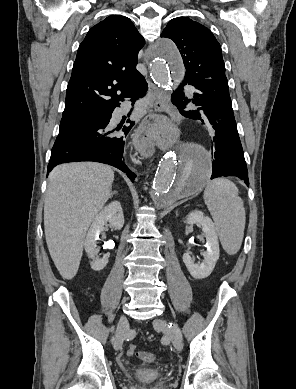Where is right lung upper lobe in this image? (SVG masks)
Wrapping results in <instances>:
<instances>
[{
	"instance_id": "1",
	"label": "right lung upper lobe",
	"mask_w": 296,
	"mask_h": 389,
	"mask_svg": "<svg viewBox=\"0 0 296 389\" xmlns=\"http://www.w3.org/2000/svg\"><path fill=\"white\" fill-rule=\"evenodd\" d=\"M144 43L127 17L112 15L93 26L78 48L62 119L100 116L118 107L142 77L136 65Z\"/></svg>"
}]
</instances>
